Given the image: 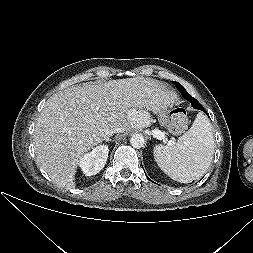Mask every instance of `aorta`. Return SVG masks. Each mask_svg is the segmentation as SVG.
Masks as SVG:
<instances>
[{
    "mask_svg": "<svg viewBox=\"0 0 253 253\" xmlns=\"http://www.w3.org/2000/svg\"><path fill=\"white\" fill-rule=\"evenodd\" d=\"M130 143H131L132 147H134V148H137V149L141 148L145 144L144 136L142 134H134L130 138Z\"/></svg>",
    "mask_w": 253,
    "mask_h": 253,
    "instance_id": "obj_1",
    "label": "aorta"
}]
</instances>
